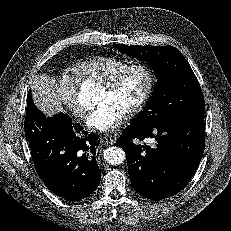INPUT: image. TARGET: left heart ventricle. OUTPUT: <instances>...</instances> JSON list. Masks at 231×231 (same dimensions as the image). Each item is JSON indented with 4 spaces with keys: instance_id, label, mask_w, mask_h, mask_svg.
Masks as SVG:
<instances>
[{
    "instance_id": "1",
    "label": "left heart ventricle",
    "mask_w": 231,
    "mask_h": 231,
    "mask_svg": "<svg viewBox=\"0 0 231 231\" xmlns=\"http://www.w3.org/2000/svg\"><path fill=\"white\" fill-rule=\"evenodd\" d=\"M146 85V76L141 70L129 72L113 92L102 88L99 91L98 104L110 102L125 113L141 96Z\"/></svg>"
}]
</instances>
